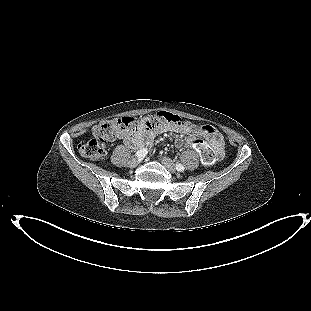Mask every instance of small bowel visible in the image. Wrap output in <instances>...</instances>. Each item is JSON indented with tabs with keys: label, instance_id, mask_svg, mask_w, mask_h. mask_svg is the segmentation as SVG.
I'll use <instances>...</instances> for the list:
<instances>
[{
	"label": "small bowel",
	"instance_id": "small-bowel-1",
	"mask_svg": "<svg viewBox=\"0 0 311 311\" xmlns=\"http://www.w3.org/2000/svg\"><path fill=\"white\" fill-rule=\"evenodd\" d=\"M189 129L182 126H175L169 124H157L149 118H144L141 121V124L128 134L124 141L125 143L134 148L141 149L143 147H149L152 141L160 134L166 132H176V133H185ZM205 131L210 137L211 145L215 150H220L223 148V139L219 131L210 125L205 126ZM175 145L179 148L183 146H191V141H184L180 138L175 140Z\"/></svg>",
	"mask_w": 311,
	"mask_h": 311
}]
</instances>
